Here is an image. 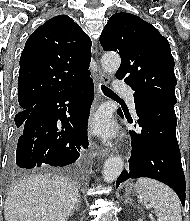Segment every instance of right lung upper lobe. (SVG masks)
<instances>
[{
    "instance_id": "right-lung-upper-lobe-1",
    "label": "right lung upper lobe",
    "mask_w": 190,
    "mask_h": 221,
    "mask_svg": "<svg viewBox=\"0 0 190 221\" xmlns=\"http://www.w3.org/2000/svg\"><path fill=\"white\" fill-rule=\"evenodd\" d=\"M91 40L73 19L59 15L28 38L20 58L18 102L29 111L44 98L90 78Z\"/></svg>"
}]
</instances>
